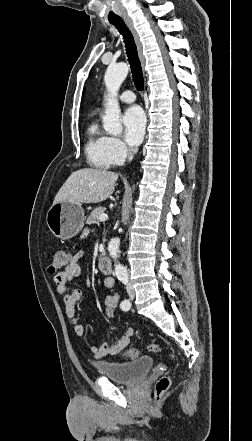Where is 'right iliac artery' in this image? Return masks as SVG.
Masks as SVG:
<instances>
[{
  "label": "right iliac artery",
  "mask_w": 252,
  "mask_h": 441,
  "mask_svg": "<svg viewBox=\"0 0 252 441\" xmlns=\"http://www.w3.org/2000/svg\"><path fill=\"white\" fill-rule=\"evenodd\" d=\"M124 284H127V280H122ZM131 304L129 299H125L121 302L120 306L123 311H127V306Z\"/></svg>",
  "instance_id": "obj_1"
}]
</instances>
